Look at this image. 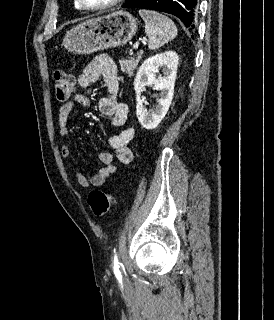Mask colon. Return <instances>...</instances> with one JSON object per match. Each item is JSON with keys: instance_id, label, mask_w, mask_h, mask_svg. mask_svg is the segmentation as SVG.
<instances>
[{"instance_id": "1", "label": "colon", "mask_w": 274, "mask_h": 320, "mask_svg": "<svg viewBox=\"0 0 274 320\" xmlns=\"http://www.w3.org/2000/svg\"><path fill=\"white\" fill-rule=\"evenodd\" d=\"M53 80L55 98L59 102L68 101L74 89L73 77L62 68H59L54 71ZM116 203L117 200L114 195L100 189L93 190L87 198L88 207L98 218L104 217Z\"/></svg>"}]
</instances>
